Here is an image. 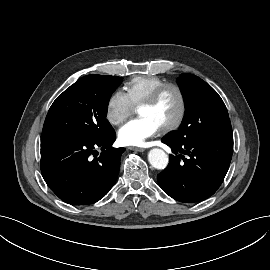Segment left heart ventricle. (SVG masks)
<instances>
[{
    "instance_id": "left-heart-ventricle-1",
    "label": "left heart ventricle",
    "mask_w": 270,
    "mask_h": 270,
    "mask_svg": "<svg viewBox=\"0 0 270 270\" xmlns=\"http://www.w3.org/2000/svg\"><path fill=\"white\" fill-rule=\"evenodd\" d=\"M178 109L179 99L176 91L167 89L155 104L140 106L139 115L151 118L162 128L174 121Z\"/></svg>"
}]
</instances>
